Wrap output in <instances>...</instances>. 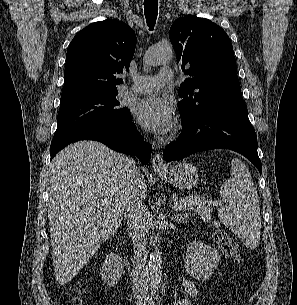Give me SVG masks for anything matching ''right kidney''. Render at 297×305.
I'll list each match as a JSON object with an SVG mask.
<instances>
[{"instance_id":"1","label":"right kidney","mask_w":297,"mask_h":305,"mask_svg":"<svg viewBox=\"0 0 297 305\" xmlns=\"http://www.w3.org/2000/svg\"><path fill=\"white\" fill-rule=\"evenodd\" d=\"M123 261L115 253L107 255L100 271L102 280L107 286L112 287L117 284L123 272Z\"/></svg>"}]
</instances>
